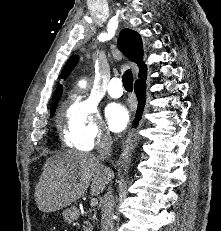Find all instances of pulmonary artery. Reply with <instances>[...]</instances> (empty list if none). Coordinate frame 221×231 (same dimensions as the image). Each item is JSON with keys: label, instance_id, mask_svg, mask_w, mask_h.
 <instances>
[{"label": "pulmonary artery", "instance_id": "e3ab8cb5", "mask_svg": "<svg viewBox=\"0 0 221 231\" xmlns=\"http://www.w3.org/2000/svg\"><path fill=\"white\" fill-rule=\"evenodd\" d=\"M108 94L113 98H119L123 95V87L121 79L118 77L113 78L108 85Z\"/></svg>", "mask_w": 221, "mask_h": 231}]
</instances>
